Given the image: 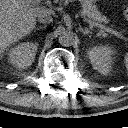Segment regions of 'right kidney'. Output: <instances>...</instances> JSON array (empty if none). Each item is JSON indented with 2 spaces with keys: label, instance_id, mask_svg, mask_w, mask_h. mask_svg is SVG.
Masks as SVG:
<instances>
[{
  "label": "right kidney",
  "instance_id": "ca27d5eb",
  "mask_svg": "<svg viewBox=\"0 0 128 128\" xmlns=\"http://www.w3.org/2000/svg\"><path fill=\"white\" fill-rule=\"evenodd\" d=\"M38 44L33 42H24L11 48L9 55V63L17 68L25 69L30 66L36 56Z\"/></svg>",
  "mask_w": 128,
  "mask_h": 128
}]
</instances>
